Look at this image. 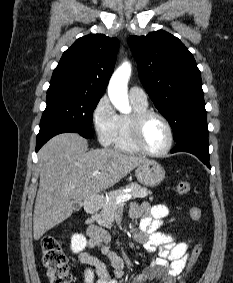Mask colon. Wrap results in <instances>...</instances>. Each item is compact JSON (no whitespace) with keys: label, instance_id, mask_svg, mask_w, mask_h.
<instances>
[{"label":"colon","instance_id":"colon-1","mask_svg":"<svg viewBox=\"0 0 233 283\" xmlns=\"http://www.w3.org/2000/svg\"><path fill=\"white\" fill-rule=\"evenodd\" d=\"M190 183L181 180L176 185L178 194L185 195L190 192ZM192 220L199 222L201 210L198 207L190 209ZM42 264L46 270L49 283H71L72 276L69 271L68 259L59 241L52 236H44L41 241ZM203 251V243L198 241L189 257L187 270H189L198 260ZM179 283H183L181 280Z\"/></svg>","mask_w":233,"mask_h":283}]
</instances>
